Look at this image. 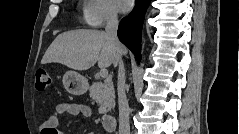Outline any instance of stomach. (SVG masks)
<instances>
[{"label":"stomach","instance_id":"obj_1","mask_svg":"<svg viewBox=\"0 0 239 134\" xmlns=\"http://www.w3.org/2000/svg\"><path fill=\"white\" fill-rule=\"evenodd\" d=\"M65 89L73 95H82L88 89V82L84 76L75 71H67L62 79Z\"/></svg>","mask_w":239,"mask_h":134}]
</instances>
